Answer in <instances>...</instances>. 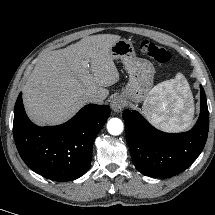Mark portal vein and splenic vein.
Wrapping results in <instances>:
<instances>
[{
	"label": "portal vein and splenic vein",
	"mask_w": 215,
	"mask_h": 215,
	"mask_svg": "<svg viewBox=\"0 0 215 215\" xmlns=\"http://www.w3.org/2000/svg\"><path fill=\"white\" fill-rule=\"evenodd\" d=\"M83 65H84L85 67H89V62H88V61H83Z\"/></svg>",
	"instance_id": "portal-vein-and-splenic-vein-1"
}]
</instances>
